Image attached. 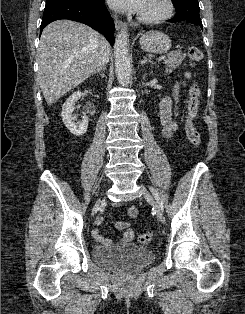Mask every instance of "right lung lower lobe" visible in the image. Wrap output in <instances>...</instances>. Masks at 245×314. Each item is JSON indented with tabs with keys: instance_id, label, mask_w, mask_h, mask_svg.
Listing matches in <instances>:
<instances>
[{
	"instance_id": "obj_1",
	"label": "right lung lower lobe",
	"mask_w": 245,
	"mask_h": 314,
	"mask_svg": "<svg viewBox=\"0 0 245 314\" xmlns=\"http://www.w3.org/2000/svg\"><path fill=\"white\" fill-rule=\"evenodd\" d=\"M69 19L87 24L102 32L106 39L114 43V22L103 4V0L86 2L80 0H50L46 1L40 31L49 23Z\"/></svg>"
}]
</instances>
